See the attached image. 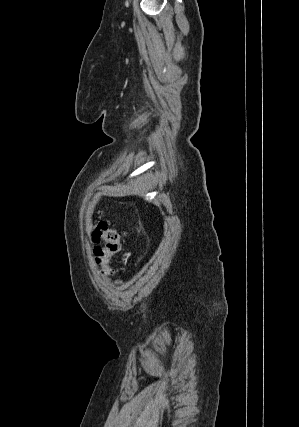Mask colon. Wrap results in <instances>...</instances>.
Returning <instances> with one entry per match:
<instances>
[{
    "label": "colon",
    "mask_w": 299,
    "mask_h": 427,
    "mask_svg": "<svg viewBox=\"0 0 299 427\" xmlns=\"http://www.w3.org/2000/svg\"><path fill=\"white\" fill-rule=\"evenodd\" d=\"M90 239L95 244L94 255L101 275L111 277L113 268L110 259L121 250V234L111 228L108 221L98 220L91 228ZM101 243L104 245L100 246Z\"/></svg>",
    "instance_id": "5ec220e1"
}]
</instances>
